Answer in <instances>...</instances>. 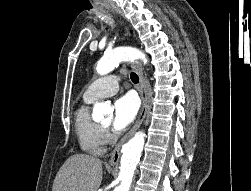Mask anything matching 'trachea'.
<instances>
[{
    "mask_svg": "<svg viewBox=\"0 0 251 191\" xmlns=\"http://www.w3.org/2000/svg\"><path fill=\"white\" fill-rule=\"evenodd\" d=\"M130 78H131V81L135 84H137L139 82V77L136 73H131Z\"/></svg>",
    "mask_w": 251,
    "mask_h": 191,
    "instance_id": "obj_1",
    "label": "trachea"
}]
</instances>
